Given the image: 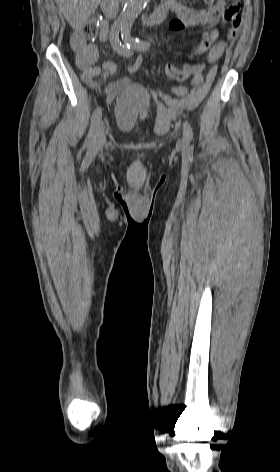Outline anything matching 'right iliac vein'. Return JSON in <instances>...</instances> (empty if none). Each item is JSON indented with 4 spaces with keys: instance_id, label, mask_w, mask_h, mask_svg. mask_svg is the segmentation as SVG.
I'll use <instances>...</instances> for the list:
<instances>
[{
    "instance_id": "1",
    "label": "right iliac vein",
    "mask_w": 280,
    "mask_h": 472,
    "mask_svg": "<svg viewBox=\"0 0 280 472\" xmlns=\"http://www.w3.org/2000/svg\"><path fill=\"white\" fill-rule=\"evenodd\" d=\"M105 141H106L105 126H104V123L101 121L99 122L97 130H96V138H95V143H94L95 151L100 150L103 147Z\"/></svg>"
}]
</instances>
